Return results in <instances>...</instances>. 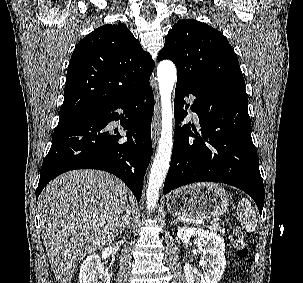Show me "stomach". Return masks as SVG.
<instances>
[{
	"label": "stomach",
	"instance_id": "0dacf381",
	"mask_svg": "<svg viewBox=\"0 0 303 283\" xmlns=\"http://www.w3.org/2000/svg\"><path fill=\"white\" fill-rule=\"evenodd\" d=\"M229 196L216 183L192 184L173 191L167 200L170 213L193 219L221 216L228 208Z\"/></svg>",
	"mask_w": 303,
	"mask_h": 283
}]
</instances>
